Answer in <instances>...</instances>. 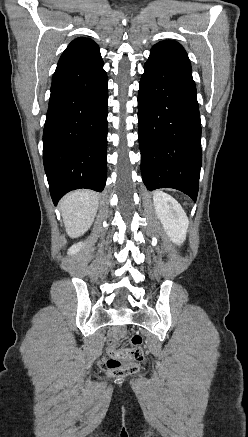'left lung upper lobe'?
I'll use <instances>...</instances> for the list:
<instances>
[{
    "mask_svg": "<svg viewBox=\"0 0 248 437\" xmlns=\"http://www.w3.org/2000/svg\"><path fill=\"white\" fill-rule=\"evenodd\" d=\"M147 62L192 72L188 55L176 41L165 40L154 45Z\"/></svg>",
    "mask_w": 248,
    "mask_h": 437,
    "instance_id": "obj_1",
    "label": "left lung upper lobe"
}]
</instances>
